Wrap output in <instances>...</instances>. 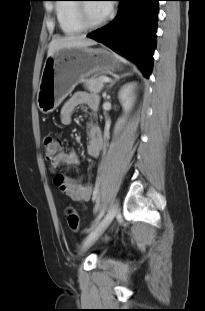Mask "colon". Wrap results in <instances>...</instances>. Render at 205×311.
Instances as JSON below:
<instances>
[{
    "mask_svg": "<svg viewBox=\"0 0 205 311\" xmlns=\"http://www.w3.org/2000/svg\"><path fill=\"white\" fill-rule=\"evenodd\" d=\"M43 143L45 149V159L48 161L53 160V158L60 152L62 146L61 141L52 136H45ZM67 225L74 232L79 230L80 218L78 213L73 209H69L67 212Z\"/></svg>",
    "mask_w": 205,
    "mask_h": 311,
    "instance_id": "5ec220e1",
    "label": "colon"
}]
</instances>
